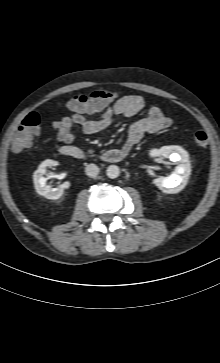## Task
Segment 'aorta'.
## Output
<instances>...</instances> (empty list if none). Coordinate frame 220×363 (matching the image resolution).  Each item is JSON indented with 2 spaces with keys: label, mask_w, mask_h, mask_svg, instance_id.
Instances as JSON below:
<instances>
[{
  "label": "aorta",
  "mask_w": 220,
  "mask_h": 363,
  "mask_svg": "<svg viewBox=\"0 0 220 363\" xmlns=\"http://www.w3.org/2000/svg\"><path fill=\"white\" fill-rule=\"evenodd\" d=\"M119 174H120V169L116 165H110L106 169V175L111 179L117 178Z\"/></svg>",
  "instance_id": "1"
}]
</instances>
